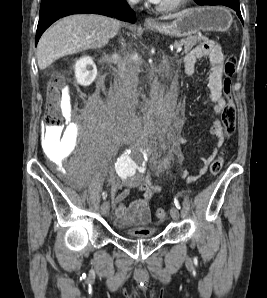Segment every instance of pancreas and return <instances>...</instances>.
I'll use <instances>...</instances> for the list:
<instances>
[{
    "label": "pancreas",
    "instance_id": "cf45deb5",
    "mask_svg": "<svg viewBox=\"0 0 267 298\" xmlns=\"http://www.w3.org/2000/svg\"><path fill=\"white\" fill-rule=\"evenodd\" d=\"M203 36H191L186 39H182L181 41H175L174 46L175 47H182L184 46L183 53H188L193 46H195L198 42L203 40Z\"/></svg>",
    "mask_w": 267,
    "mask_h": 298
}]
</instances>
